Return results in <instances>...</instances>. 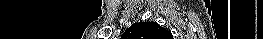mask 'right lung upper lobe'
<instances>
[{
  "label": "right lung upper lobe",
  "mask_w": 263,
  "mask_h": 39,
  "mask_svg": "<svg viewBox=\"0 0 263 39\" xmlns=\"http://www.w3.org/2000/svg\"><path fill=\"white\" fill-rule=\"evenodd\" d=\"M128 38L133 39H171V32L156 22H143L132 25L126 30Z\"/></svg>",
  "instance_id": "obj_1"
}]
</instances>
